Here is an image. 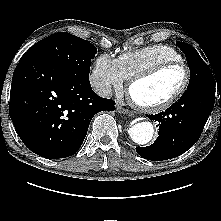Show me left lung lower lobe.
Returning a JSON list of instances; mask_svg holds the SVG:
<instances>
[{
    "label": "left lung lower lobe",
    "mask_w": 221,
    "mask_h": 221,
    "mask_svg": "<svg viewBox=\"0 0 221 221\" xmlns=\"http://www.w3.org/2000/svg\"><path fill=\"white\" fill-rule=\"evenodd\" d=\"M219 92L220 82L217 81ZM216 83L204 82L187 89L165 112L147 115L158 121V138L147 147H136L137 153L153 161L175 158L191 148L200 138L215 101Z\"/></svg>",
    "instance_id": "left-lung-lower-lobe-1"
}]
</instances>
